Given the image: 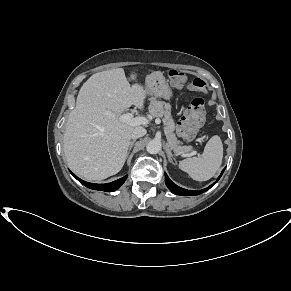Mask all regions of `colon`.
I'll return each mask as SVG.
<instances>
[{"instance_id": "colon-1", "label": "colon", "mask_w": 291, "mask_h": 291, "mask_svg": "<svg viewBox=\"0 0 291 291\" xmlns=\"http://www.w3.org/2000/svg\"><path fill=\"white\" fill-rule=\"evenodd\" d=\"M168 76L174 84H182L187 80L186 75L179 70H170ZM199 81L198 79L194 80L193 86H198ZM204 119L205 101L203 98L197 97L193 100L180 123L179 131L182 137L186 140H190L196 130L203 124Z\"/></svg>"}]
</instances>
